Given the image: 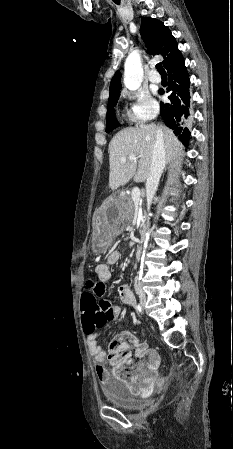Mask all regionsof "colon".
Returning a JSON list of instances; mask_svg holds the SVG:
<instances>
[{
    "mask_svg": "<svg viewBox=\"0 0 233 449\" xmlns=\"http://www.w3.org/2000/svg\"><path fill=\"white\" fill-rule=\"evenodd\" d=\"M95 278L90 276L87 279V287L88 291L82 293V297L80 298V308H81V318L83 328H103L104 317L107 316L105 313V308H101L98 306V302H96L95 297L96 293H91L89 290L93 288V282ZM113 315V314H112ZM129 337L126 335L119 336L115 338L109 346V357L116 363V365H120L121 361L115 360V356L119 353V347L123 343L127 342Z\"/></svg>",
    "mask_w": 233,
    "mask_h": 449,
    "instance_id": "1",
    "label": "colon"
}]
</instances>
